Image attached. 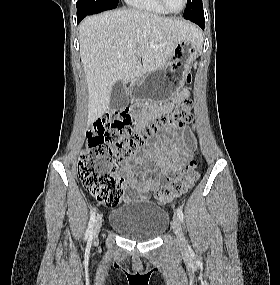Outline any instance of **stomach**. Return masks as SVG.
<instances>
[{"label": "stomach", "mask_w": 280, "mask_h": 285, "mask_svg": "<svg viewBox=\"0 0 280 285\" xmlns=\"http://www.w3.org/2000/svg\"><path fill=\"white\" fill-rule=\"evenodd\" d=\"M197 55L196 42L189 39L180 41L165 67L134 81L130 93L135 99L151 96L157 104L169 102L182 89L185 76Z\"/></svg>", "instance_id": "1"}]
</instances>
